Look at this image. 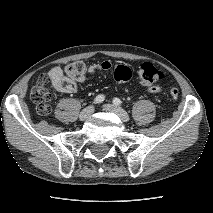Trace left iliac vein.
Instances as JSON below:
<instances>
[{
  "label": "left iliac vein",
  "mask_w": 213,
  "mask_h": 213,
  "mask_svg": "<svg viewBox=\"0 0 213 213\" xmlns=\"http://www.w3.org/2000/svg\"><path fill=\"white\" fill-rule=\"evenodd\" d=\"M103 107L106 111L115 113L124 122H127L130 119L127 112L116 105L105 104Z\"/></svg>",
  "instance_id": "4c4485c4"
}]
</instances>
